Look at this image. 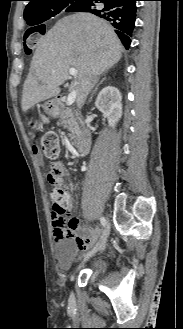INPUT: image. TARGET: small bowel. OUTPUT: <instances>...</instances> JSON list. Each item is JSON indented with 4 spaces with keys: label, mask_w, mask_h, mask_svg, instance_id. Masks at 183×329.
<instances>
[{
    "label": "small bowel",
    "mask_w": 183,
    "mask_h": 329,
    "mask_svg": "<svg viewBox=\"0 0 183 329\" xmlns=\"http://www.w3.org/2000/svg\"><path fill=\"white\" fill-rule=\"evenodd\" d=\"M34 153L38 154L37 148H34ZM52 168L62 172V177L59 182L64 184V178L67 175L64 167L60 163H55ZM52 223L53 236L56 243L64 238L75 239L77 247L81 250L87 249L91 245L94 235L99 233L98 229H93L87 234V229L82 228V222L76 218H67L66 224H63L57 216L53 215ZM76 231H81L82 234L76 235Z\"/></svg>",
    "instance_id": "obj_1"
}]
</instances>
